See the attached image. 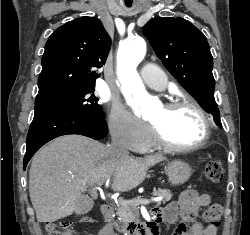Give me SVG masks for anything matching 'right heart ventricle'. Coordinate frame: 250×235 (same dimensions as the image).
I'll return each instance as SVG.
<instances>
[{"instance_id": "right-heart-ventricle-1", "label": "right heart ventricle", "mask_w": 250, "mask_h": 235, "mask_svg": "<svg viewBox=\"0 0 250 235\" xmlns=\"http://www.w3.org/2000/svg\"><path fill=\"white\" fill-rule=\"evenodd\" d=\"M157 148V144L154 139L151 137L148 144L143 148L144 151H150Z\"/></svg>"}]
</instances>
